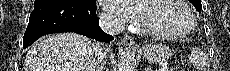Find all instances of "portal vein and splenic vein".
I'll return each instance as SVG.
<instances>
[{
	"label": "portal vein and splenic vein",
	"instance_id": "18ae733b",
	"mask_svg": "<svg viewBox=\"0 0 230 71\" xmlns=\"http://www.w3.org/2000/svg\"><path fill=\"white\" fill-rule=\"evenodd\" d=\"M166 67H163L161 71H164Z\"/></svg>",
	"mask_w": 230,
	"mask_h": 71
}]
</instances>
